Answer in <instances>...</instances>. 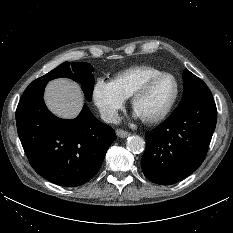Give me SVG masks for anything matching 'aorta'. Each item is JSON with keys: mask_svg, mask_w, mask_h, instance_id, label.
I'll list each match as a JSON object with an SVG mask.
<instances>
[{"mask_svg": "<svg viewBox=\"0 0 233 233\" xmlns=\"http://www.w3.org/2000/svg\"><path fill=\"white\" fill-rule=\"evenodd\" d=\"M126 146L129 151L138 154L143 152L145 148V142L142 137L133 135L127 138Z\"/></svg>", "mask_w": 233, "mask_h": 233, "instance_id": "1", "label": "aorta"}]
</instances>
